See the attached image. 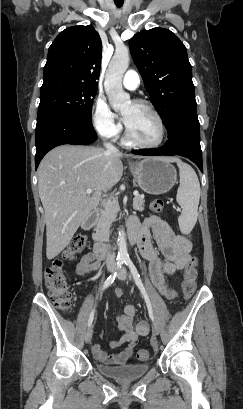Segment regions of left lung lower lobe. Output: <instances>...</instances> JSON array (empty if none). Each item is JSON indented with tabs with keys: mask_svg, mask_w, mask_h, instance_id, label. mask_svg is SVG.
Wrapping results in <instances>:
<instances>
[{
	"mask_svg": "<svg viewBox=\"0 0 243 409\" xmlns=\"http://www.w3.org/2000/svg\"><path fill=\"white\" fill-rule=\"evenodd\" d=\"M168 130L167 142L156 149L132 150L137 155H179L189 158L203 172L200 147V124L196 107L189 108L177 116Z\"/></svg>",
	"mask_w": 243,
	"mask_h": 409,
	"instance_id": "0a47b994",
	"label": "left lung lower lobe"
}]
</instances>
